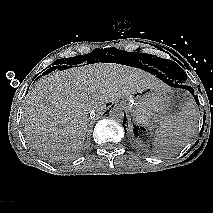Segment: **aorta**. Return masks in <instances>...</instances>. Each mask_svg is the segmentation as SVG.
<instances>
[{"instance_id": "762f6f07", "label": "aorta", "mask_w": 213, "mask_h": 213, "mask_svg": "<svg viewBox=\"0 0 213 213\" xmlns=\"http://www.w3.org/2000/svg\"><path fill=\"white\" fill-rule=\"evenodd\" d=\"M109 115L116 121H122L124 119V109L121 106L116 105L111 108Z\"/></svg>"}]
</instances>
